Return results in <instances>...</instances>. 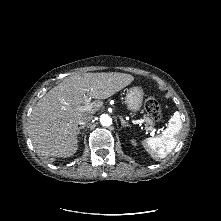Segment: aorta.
Returning a JSON list of instances; mask_svg holds the SVG:
<instances>
[{"mask_svg": "<svg viewBox=\"0 0 221 221\" xmlns=\"http://www.w3.org/2000/svg\"><path fill=\"white\" fill-rule=\"evenodd\" d=\"M100 123L102 126H110L112 124V119L110 116L103 114L100 116Z\"/></svg>", "mask_w": 221, "mask_h": 221, "instance_id": "aorta-1", "label": "aorta"}]
</instances>
